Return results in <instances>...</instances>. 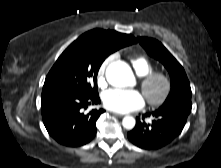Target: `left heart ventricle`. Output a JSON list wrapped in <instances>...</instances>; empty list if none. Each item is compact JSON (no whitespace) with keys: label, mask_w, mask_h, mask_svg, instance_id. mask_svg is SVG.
I'll return each mask as SVG.
<instances>
[{"label":"left heart ventricle","mask_w":221,"mask_h":168,"mask_svg":"<svg viewBox=\"0 0 221 168\" xmlns=\"http://www.w3.org/2000/svg\"><path fill=\"white\" fill-rule=\"evenodd\" d=\"M161 90H162V84L160 82H155L150 87L148 94L151 97H157L161 93Z\"/></svg>","instance_id":"obj_1"}]
</instances>
